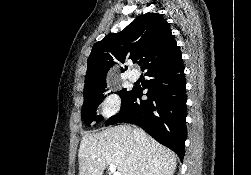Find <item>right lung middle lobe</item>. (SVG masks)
<instances>
[{
  "label": "right lung middle lobe",
  "mask_w": 251,
  "mask_h": 175,
  "mask_svg": "<svg viewBox=\"0 0 251 175\" xmlns=\"http://www.w3.org/2000/svg\"><path fill=\"white\" fill-rule=\"evenodd\" d=\"M106 91V85L104 86H96V87H87L84 88V103L82 106V118L86 125H90V123L94 120L97 122L100 121V116L96 115V109L98 105L104 98V92ZM129 91L122 90L116 92L120 97H124Z\"/></svg>",
  "instance_id": "dd1d6c3e"
}]
</instances>
